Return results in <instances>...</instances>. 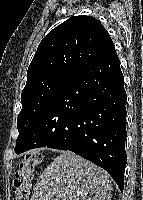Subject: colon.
I'll use <instances>...</instances> for the list:
<instances>
[{"label": "colon", "instance_id": "1", "mask_svg": "<svg viewBox=\"0 0 143 200\" xmlns=\"http://www.w3.org/2000/svg\"><path fill=\"white\" fill-rule=\"evenodd\" d=\"M42 157L38 153H31L25 156L14 175L13 186L15 189V200H28L31 188V179L38 167Z\"/></svg>", "mask_w": 143, "mask_h": 200}]
</instances>
